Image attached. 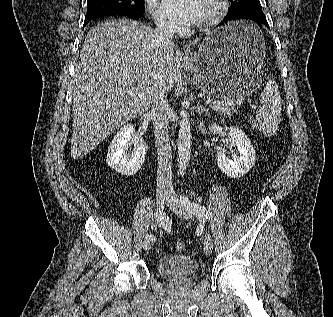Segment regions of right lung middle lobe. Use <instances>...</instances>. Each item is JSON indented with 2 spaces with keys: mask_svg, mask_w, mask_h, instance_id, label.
I'll return each mask as SVG.
<instances>
[{
  "mask_svg": "<svg viewBox=\"0 0 333 317\" xmlns=\"http://www.w3.org/2000/svg\"><path fill=\"white\" fill-rule=\"evenodd\" d=\"M86 16L124 15L140 17L144 12L143 0H88Z\"/></svg>",
  "mask_w": 333,
  "mask_h": 317,
  "instance_id": "1",
  "label": "right lung middle lobe"
}]
</instances>
